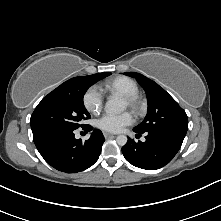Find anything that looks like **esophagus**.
I'll use <instances>...</instances> for the list:
<instances>
[{
    "instance_id": "1",
    "label": "esophagus",
    "mask_w": 221,
    "mask_h": 221,
    "mask_svg": "<svg viewBox=\"0 0 221 221\" xmlns=\"http://www.w3.org/2000/svg\"><path fill=\"white\" fill-rule=\"evenodd\" d=\"M103 135H104L105 138H110V137L115 136V134H112V133H109V132H104Z\"/></svg>"
}]
</instances>
